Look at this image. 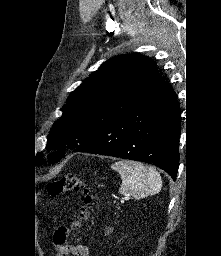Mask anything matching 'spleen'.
Listing matches in <instances>:
<instances>
[{"instance_id":"spleen-1","label":"spleen","mask_w":221,"mask_h":256,"mask_svg":"<svg viewBox=\"0 0 221 256\" xmlns=\"http://www.w3.org/2000/svg\"><path fill=\"white\" fill-rule=\"evenodd\" d=\"M111 168L121 176L122 184L119 188L121 195H131L139 200L155 195L161 190V177L151 166L135 161H117Z\"/></svg>"}]
</instances>
